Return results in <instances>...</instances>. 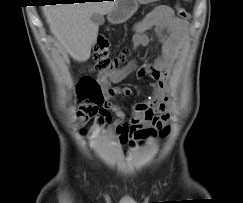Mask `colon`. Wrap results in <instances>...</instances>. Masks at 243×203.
<instances>
[{
  "label": "colon",
  "mask_w": 243,
  "mask_h": 203,
  "mask_svg": "<svg viewBox=\"0 0 243 203\" xmlns=\"http://www.w3.org/2000/svg\"><path fill=\"white\" fill-rule=\"evenodd\" d=\"M177 14L183 20L189 19V13L183 7H177ZM110 42L100 36L94 44L93 69L99 72L117 70L124 63L129 54L127 48H122L118 54H109ZM77 88L82 102L81 113L84 116L98 113L104 103V91L100 82L92 76L83 75L77 82Z\"/></svg>",
  "instance_id": "obj_1"
}]
</instances>
